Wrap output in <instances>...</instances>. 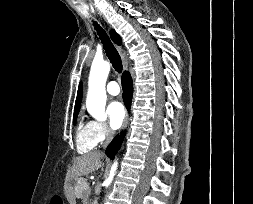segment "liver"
<instances>
[{"label":"liver","mask_w":253,"mask_h":204,"mask_svg":"<svg viewBox=\"0 0 253 204\" xmlns=\"http://www.w3.org/2000/svg\"><path fill=\"white\" fill-rule=\"evenodd\" d=\"M103 157L104 155L101 152L92 151L74 159L72 167L67 172L64 187L69 201L74 202L73 187L70 182L76 181L79 177L93 173L101 168Z\"/></svg>","instance_id":"6515ba94"}]
</instances>
